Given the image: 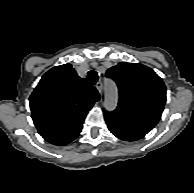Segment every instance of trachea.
<instances>
[{"mask_svg":"<svg viewBox=\"0 0 194 193\" xmlns=\"http://www.w3.org/2000/svg\"><path fill=\"white\" fill-rule=\"evenodd\" d=\"M87 78L91 84L95 85L98 81V74L95 71L91 70L88 72Z\"/></svg>","mask_w":194,"mask_h":193,"instance_id":"3493384b","label":"trachea"}]
</instances>
